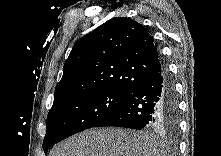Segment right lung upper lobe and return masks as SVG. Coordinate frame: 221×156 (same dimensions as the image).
I'll return each mask as SVG.
<instances>
[{
	"mask_svg": "<svg viewBox=\"0 0 221 156\" xmlns=\"http://www.w3.org/2000/svg\"><path fill=\"white\" fill-rule=\"evenodd\" d=\"M164 68L143 25L130 18H112L75 43L55 88L53 105L102 91L131 94Z\"/></svg>",
	"mask_w": 221,
	"mask_h": 156,
	"instance_id": "cb5924a9",
	"label": "right lung upper lobe"
}]
</instances>
